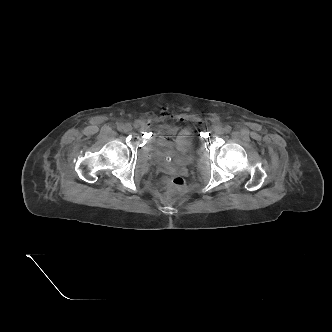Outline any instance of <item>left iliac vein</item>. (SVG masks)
<instances>
[{
    "label": "left iliac vein",
    "instance_id": "4c4485c4",
    "mask_svg": "<svg viewBox=\"0 0 332 332\" xmlns=\"http://www.w3.org/2000/svg\"><path fill=\"white\" fill-rule=\"evenodd\" d=\"M216 134L222 135L225 132V129L222 126H217L215 129Z\"/></svg>",
    "mask_w": 332,
    "mask_h": 332
}]
</instances>
